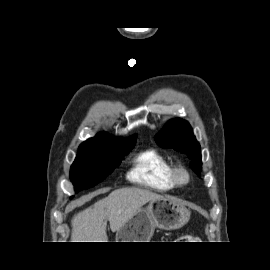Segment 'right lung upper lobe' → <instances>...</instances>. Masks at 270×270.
<instances>
[{
	"mask_svg": "<svg viewBox=\"0 0 270 270\" xmlns=\"http://www.w3.org/2000/svg\"><path fill=\"white\" fill-rule=\"evenodd\" d=\"M136 141V136L131 137L130 139L124 141L122 139H117L113 136H109L107 133H99L95 137L90 138L83 142L79 148H96L104 147L116 144H125Z\"/></svg>",
	"mask_w": 270,
	"mask_h": 270,
	"instance_id": "obj_1",
	"label": "right lung upper lobe"
}]
</instances>
